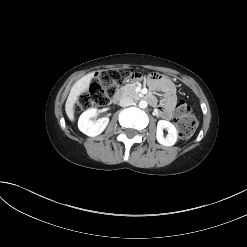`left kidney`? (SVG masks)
<instances>
[{
  "mask_svg": "<svg viewBox=\"0 0 247 247\" xmlns=\"http://www.w3.org/2000/svg\"><path fill=\"white\" fill-rule=\"evenodd\" d=\"M166 128L168 135L163 136V129ZM157 141L164 146H173L177 142L178 133L176 127L169 121L159 120L156 132Z\"/></svg>",
  "mask_w": 247,
  "mask_h": 247,
  "instance_id": "obj_1",
  "label": "left kidney"
}]
</instances>
